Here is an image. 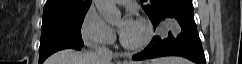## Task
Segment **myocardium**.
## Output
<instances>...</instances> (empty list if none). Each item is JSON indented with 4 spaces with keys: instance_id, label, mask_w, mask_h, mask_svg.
<instances>
[{
    "instance_id": "f54148a6",
    "label": "myocardium",
    "mask_w": 242,
    "mask_h": 64,
    "mask_svg": "<svg viewBox=\"0 0 242 64\" xmlns=\"http://www.w3.org/2000/svg\"><path fill=\"white\" fill-rule=\"evenodd\" d=\"M138 24L142 27L143 31H144V36L143 38L137 42V43H130L128 41H126L124 38H121V44L123 45L124 48L128 49V50H140L143 49L144 47H146L153 36V27L151 25V23L149 21H147L146 19H139L138 20Z\"/></svg>"
}]
</instances>
